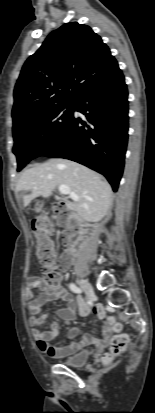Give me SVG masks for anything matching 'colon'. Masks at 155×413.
<instances>
[{
    "label": "colon",
    "mask_w": 155,
    "mask_h": 413,
    "mask_svg": "<svg viewBox=\"0 0 155 413\" xmlns=\"http://www.w3.org/2000/svg\"><path fill=\"white\" fill-rule=\"evenodd\" d=\"M53 214L57 222L63 226H66L67 212L64 208L56 206L53 208ZM32 229L34 235L38 239L37 256L42 266V274L44 282L51 288L58 287L61 282V276L57 271V268L64 269L70 264V258L68 256L57 257L56 244L49 238L51 231V222L49 214L44 211L41 206L35 208V215L32 219ZM72 234L65 235L66 240H70ZM94 313L99 317H105V311L102 305L96 304L93 307ZM109 325L115 330L120 331L122 325L117 322L114 317H107ZM129 344V337L124 334L116 335L111 340L110 351L104 355L103 361L109 362L112 358L122 354Z\"/></svg>",
    "instance_id": "1"
}]
</instances>
